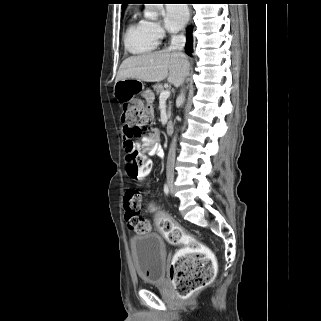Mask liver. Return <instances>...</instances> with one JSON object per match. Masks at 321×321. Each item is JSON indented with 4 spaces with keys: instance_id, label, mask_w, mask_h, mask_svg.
<instances>
[{
    "instance_id": "obj_1",
    "label": "liver",
    "mask_w": 321,
    "mask_h": 321,
    "mask_svg": "<svg viewBox=\"0 0 321 321\" xmlns=\"http://www.w3.org/2000/svg\"><path fill=\"white\" fill-rule=\"evenodd\" d=\"M188 71L187 57L178 51L166 49L125 59L118 70L116 82L124 79L160 82L167 78L169 83L178 87Z\"/></svg>"
}]
</instances>
